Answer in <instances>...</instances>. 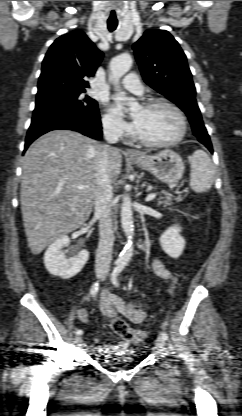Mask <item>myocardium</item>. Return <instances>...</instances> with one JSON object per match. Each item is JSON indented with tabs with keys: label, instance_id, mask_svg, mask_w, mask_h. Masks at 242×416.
Masks as SVG:
<instances>
[{
	"label": "myocardium",
	"instance_id": "myocardium-1",
	"mask_svg": "<svg viewBox=\"0 0 242 416\" xmlns=\"http://www.w3.org/2000/svg\"><path fill=\"white\" fill-rule=\"evenodd\" d=\"M157 106H165L170 108L178 117L179 122H180V129L178 134L173 137L172 139L169 140H165V141H150L144 137H142L141 135H139L137 133V131L134 129L133 131V138L134 140H136L137 142H139L140 144L146 146V147H151V148H160V147H167V146H171L174 145L176 143H178L179 141H181L183 139V137L186 134L187 131V120L186 117L183 113V111L174 103H172L171 101L165 100V99H151L149 101H147L143 108L145 109H151Z\"/></svg>",
	"mask_w": 242,
	"mask_h": 416
}]
</instances>
